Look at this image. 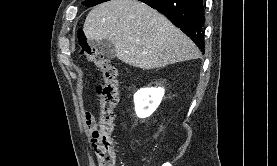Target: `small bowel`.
<instances>
[{
	"label": "small bowel",
	"instance_id": "c3829d8e",
	"mask_svg": "<svg viewBox=\"0 0 277 166\" xmlns=\"http://www.w3.org/2000/svg\"><path fill=\"white\" fill-rule=\"evenodd\" d=\"M86 123H87V125L89 127V125L94 123V118L91 115H87L86 116Z\"/></svg>",
	"mask_w": 277,
	"mask_h": 166
}]
</instances>
